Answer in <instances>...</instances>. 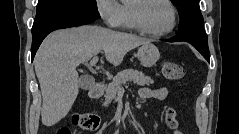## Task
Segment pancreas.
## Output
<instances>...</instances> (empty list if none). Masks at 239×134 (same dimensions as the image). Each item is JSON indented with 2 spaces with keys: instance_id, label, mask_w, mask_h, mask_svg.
<instances>
[{
  "instance_id": "obj_1",
  "label": "pancreas",
  "mask_w": 239,
  "mask_h": 134,
  "mask_svg": "<svg viewBox=\"0 0 239 134\" xmlns=\"http://www.w3.org/2000/svg\"><path fill=\"white\" fill-rule=\"evenodd\" d=\"M127 82H134L139 86H149L153 84L151 77L146 76L144 73L133 69H126L119 72L111 83L106 86L105 102L103 106H108L121 88V86Z\"/></svg>"
}]
</instances>
